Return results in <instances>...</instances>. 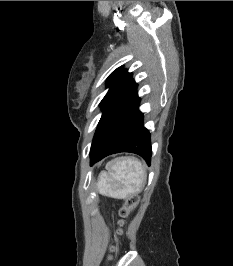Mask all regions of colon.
<instances>
[{
	"label": "colon",
	"mask_w": 233,
	"mask_h": 266,
	"mask_svg": "<svg viewBox=\"0 0 233 266\" xmlns=\"http://www.w3.org/2000/svg\"><path fill=\"white\" fill-rule=\"evenodd\" d=\"M138 204V198L137 197H129L126 199L123 206L120 208L119 214L121 216L120 226L123 227L125 223V219L129 216L131 211L136 207ZM119 234L122 233V229L118 231ZM112 252L114 253L116 251V247H112Z\"/></svg>",
	"instance_id": "5ec220e1"
}]
</instances>
